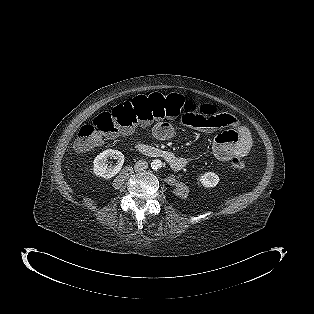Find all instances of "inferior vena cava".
<instances>
[{
  "mask_svg": "<svg viewBox=\"0 0 314 314\" xmlns=\"http://www.w3.org/2000/svg\"><path fill=\"white\" fill-rule=\"evenodd\" d=\"M148 168V162L145 160H139L135 163L134 169L136 172H144Z\"/></svg>",
  "mask_w": 314,
  "mask_h": 314,
  "instance_id": "obj_1",
  "label": "inferior vena cava"
}]
</instances>
